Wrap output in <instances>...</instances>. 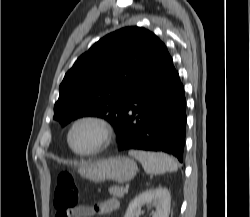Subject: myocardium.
Here are the masks:
<instances>
[{
	"instance_id": "1",
	"label": "myocardium",
	"mask_w": 250,
	"mask_h": 217,
	"mask_svg": "<svg viewBox=\"0 0 250 217\" xmlns=\"http://www.w3.org/2000/svg\"><path fill=\"white\" fill-rule=\"evenodd\" d=\"M83 123H92L95 126H97L100 132V137H99L98 144L94 148L90 150L80 151V150H77L73 146L72 141H71V136L75 128ZM112 135H113V128L108 120L98 115L88 114V115H83V116L78 117L70 124L68 131H67L66 139H67L69 148L76 155L93 156L102 152L109 146L112 140Z\"/></svg>"
}]
</instances>
